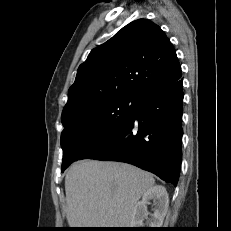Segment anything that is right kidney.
<instances>
[{"label":"right kidney","mask_w":231,"mask_h":231,"mask_svg":"<svg viewBox=\"0 0 231 231\" xmlns=\"http://www.w3.org/2000/svg\"><path fill=\"white\" fill-rule=\"evenodd\" d=\"M152 200L155 204V211L149 221L150 228H160L163 224L164 217L169 206V197L166 188L161 185H155L148 189L140 202H138L133 210L131 218L132 228H141L144 226V219L147 218V203Z\"/></svg>","instance_id":"obj_1"}]
</instances>
